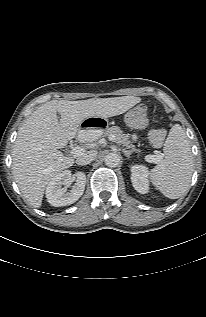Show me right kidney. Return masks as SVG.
<instances>
[{"mask_svg": "<svg viewBox=\"0 0 206 317\" xmlns=\"http://www.w3.org/2000/svg\"><path fill=\"white\" fill-rule=\"evenodd\" d=\"M75 176L76 183L70 192H67V187L75 179L69 170L58 173L51 179L46 188V198L52 206L60 207L73 204L83 195L86 176L83 172H77ZM63 185L64 187H62Z\"/></svg>", "mask_w": 206, "mask_h": 317, "instance_id": "ca27d5eb", "label": "right kidney"}]
</instances>
